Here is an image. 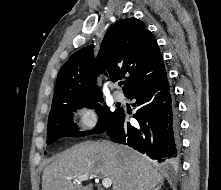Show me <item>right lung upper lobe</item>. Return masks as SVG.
Returning <instances> with one entry per match:
<instances>
[{
	"label": "right lung upper lobe",
	"instance_id": "obj_1",
	"mask_svg": "<svg viewBox=\"0 0 221 190\" xmlns=\"http://www.w3.org/2000/svg\"><path fill=\"white\" fill-rule=\"evenodd\" d=\"M92 48L90 45L76 51L62 66L52 106L100 98L101 92L96 85L98 71L106 69L113 82L125 78V95L165 73L154 36L136 18L123 19L108 29L96 59Z\"/></svg>",
	"mask_w": 221,
	"mask_h": 190
}]
</instances>
